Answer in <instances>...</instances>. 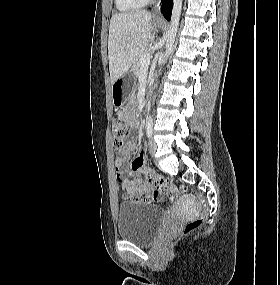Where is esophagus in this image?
<instances>
[{
	"instance_id": "esophagus-1",
	"label": "esophagus",
	"mask_w": 280,
	"mask_h": 285,
	"mask_svg": "<svg viewBox=\"0 0 280 285\" xmlns=\"http://www.w3.org/2000/svg\"><path fill=\"white\" fill-rule=\"evenodd\" d=\"M159 4H160V1H158L157 4L153 7V13H154V15H155L157 18L161 19L162 16H161V13H160Z\"/></svg>"
}]
</instances>
